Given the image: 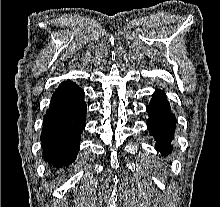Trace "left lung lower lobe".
<instances>
[{
  "label": "left lung lower lobe",
  "mask_w": 220,
  "mask_h": 207,
  "mask_svg": "<svg viewBox=\"0 0 220 207\" xmlns=\"http://www.w3.org/2000/svg\"><path fill=\"white\" fill-rule=\"evenodd\" d=\"M147 112L149 114L148 129L157 140L156 149L162 154H169L176 121L175 115L170 112L166 96L161 90H156L153 94V98L147 106Z\"/></svg>",
  "instance_id": "obj_1"
}]
</instances>
